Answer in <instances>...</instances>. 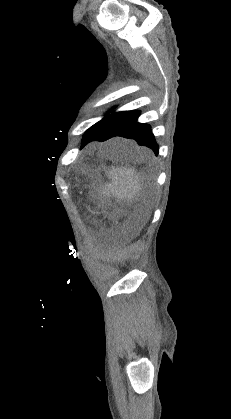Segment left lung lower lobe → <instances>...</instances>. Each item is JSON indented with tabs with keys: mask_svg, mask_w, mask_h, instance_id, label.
I'll list each match as a JSON object with an SVG mask.
<instances>
[{
	"mask_svg": "<svg viewBox=\"0 0 231 419\" xmlns=\"http://www.w3.org/2000/svg\"><path fill=\"white\" fill-rule=\"evenodd\" d=\"M140 111L114 112L101 120L82 141L81 148L92 141H106L120 136L134 139L140 146H146L158 155L159 146L149 125L137 122Z\"/></svg>",
	"mask_w": 231,
	"mask_h": 419,
	"instance_id": "0a47b994",
	"label": "left lung lower lobe"
}]
</instances>
